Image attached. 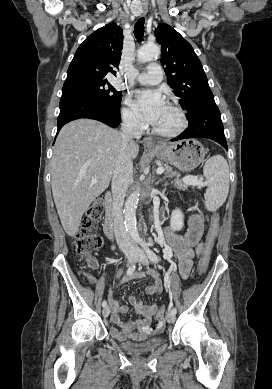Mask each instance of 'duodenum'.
<instances>
[{
  "label": "duodenum",
  "instance_id": "1",
  "mask_svg": "<svg viewBox=\"0 0 272 389\" xmlns=\"http://www.w3.org/2000/svg\"><path fill=\"white\" fill-rule=\"evenodd\" d=\"M112 194L106 193L104 196V206L106 208V214L103 222V230L105 235L112 239L114 236L115 215L112 206Z\"/></svg>",
  "mask_w": 272,
  "mask_h": 389
}]
</instances>
